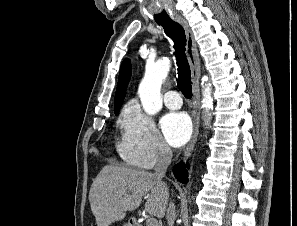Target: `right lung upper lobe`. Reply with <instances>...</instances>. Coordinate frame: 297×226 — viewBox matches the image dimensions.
I'll return each mask as SVG.
<instances>
[{
    "instance_id": "cb5924a9",
    "label": "right lung upper lobe",
    "mask_w": 297,
    "mask_h": 226,
    "mask_svg": "<svg viewBox=\"0 0 297 226\" xmlns=\"http://www.w3.org/2000/svg\"><path fill=\"white\" fill-rule=\"evenodd\" d=\"M131 77V63L129 59H125L120 67L118 85L115 95V108L121 107L126 94V88Z\"/></svg>"
}]
</instances>
